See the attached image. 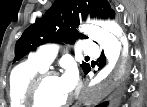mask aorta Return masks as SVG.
<instances>
[{
	"label": "aorta",
	"mask_w": 147,
	"mask_h": 107,
	"mask_svg": "<svg viewBox=\"0 0 147 107\" xmlns=\"http://www.w3.org/2000/svg\"><path fill=\"white\" fill-rule=\"evenodd\" d=\"M79 31L96 41L108 60V65L90 83L83 95L82 102L90 106L107 96L124 76L127 42L121 29L111 22L85 25Z\"/></svg>",
	"instance_id": "aorta-1"
}]
</instances>
